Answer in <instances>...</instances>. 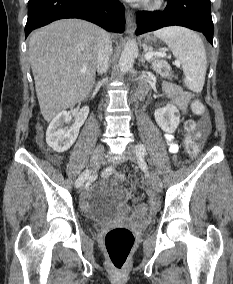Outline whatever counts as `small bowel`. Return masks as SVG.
Here are the masks:
<instances>
[{
  "label": "small bowel",
  "instance_id": "1",
  "mask_svg": "<svg viewBox=\"0 0 233 284\" xmlns=\"http://www.w3.org/2000/svg\"><path fill=\"white\" fill-rule=\"evenodd\" d=\"M166 95L169 97L172 103L178 106L180 109L184 110L188 106L191 98V94L185 92L181 87L174 85L172 83H165L163 85ZM186 124H192L195 127L196 136L203 137L206 135L209 129V118L208 116H202L199 126L194 121H187ZM165 140L169 146L171 153H177L179 150L178 145L175 143L174 136L172 134H165Z\"/></svg>",
  "mask_w": 233,
  "mask_h": 284
}]
</instances>
